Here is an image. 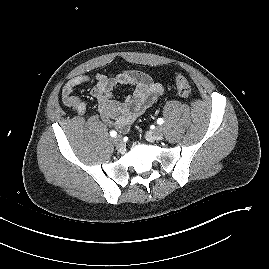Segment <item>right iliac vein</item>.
Wrapping results in <instances>:
<instances>
[{
	"mask_svg": "<svg viewBox=\"0 0 269 269\" xmlns=\"http://www.w3.org/2000/svg\"><path fill=\"white\" fill-rule=\"evenodd\" d=\"M113 142L116 146L118 147H122L124 145L123 143V139L121 136H116L114 139H113Z\"/></svg>",
	"mask_w": 269,
	"mask_h": 269,
	"instance_id": "right-iliac-vein-1",
	"label": "right iliac vein"
}]
</instances>
